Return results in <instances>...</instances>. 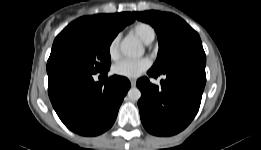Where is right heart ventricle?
Listing matches in <instances>:
<instances>
[{
    "mask_svg": "<svg viewBox=\"0 0 261 150\" xmlns=\"http://www.w3.org/2000/svg\"><path fill=\"white\" fill-rule=\"evenodd\" d=\"M130 31L146 44L152 42L156 35L154 27L146 22L135 23Z\"/></svg>",
    "mask_w": 261,
    "mask_h": 150,
    "instance_id": "obj_1",
    "label": "right heart ventricle"
}]
</instances>
